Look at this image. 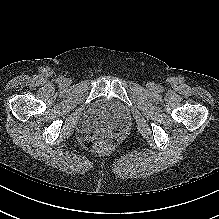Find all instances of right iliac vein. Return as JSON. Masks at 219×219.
<instances>
[{
  "mask_svg": "<svg viewBox=\"0 0 219 219\" xmlns=\"http://www.w3.org/2000/svg\"><path fill=\"white\" fill-rule=\"evenodd\" d=\"M68 84H69L68 79H62L61 85L66 86V85H68Z\"/></svg>",
  "mask_w": 219,
  "mask_h": 219,
  "instance_id": "1",
  "label": "right iliac vein"
}]
</instances>
